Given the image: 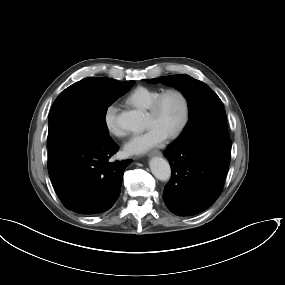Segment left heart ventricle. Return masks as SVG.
I'll list each match as a JSON object with an SVG mask.
<instances>
[{"label": "left heart ventricle", "instance_id": "b2bd125f", "mask_svg": "<svg viewBox=\"0 0 285 285\" xmlns=\"http://www.w3.org/2000/svg\"><path fill=\"white\" fill-rule=\"evenodd\" d=\"M183 115V103L179 96L168 95L162 102L156 115L148 114L147 126H156L166 135L179 125Z\"/></svg>", "mask_w": 285, "mask_h": 285}]
</instances>
